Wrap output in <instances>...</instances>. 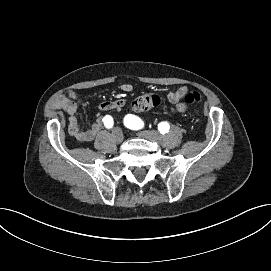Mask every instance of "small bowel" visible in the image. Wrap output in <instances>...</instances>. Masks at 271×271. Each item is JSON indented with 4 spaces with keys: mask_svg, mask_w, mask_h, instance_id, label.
Instances as JSON below:
<instances>
[{
    "mask_svg": "<svg viewBox=\"0 0 271 271\" xmlns=\"http://www.w3.org/2000/svg\"><path fill=\"white\" fill-rule=\"evenodd\" d=\"M131 84L124 83L120 85V90L123 92L132 91ZM188 94V88L183 86L179 87L168 93L167 99L173 105L170 108L171 113H182L187 108V103L184 101L185 96ZM127 100L125 98H119L111 101H104L98 105L100 111H109L120 109L125 106ZM54 107L58 110L64 111L68 115L69 127L74 133L75 137L80 141H91L98 134L102 128L103 116H99L96 121L86 130L79 127L76 113L78 110L77 96L71 92L68 96H60L54 101Z\"/></svg>",
    "mask_w": 271,
    "mask_h": 271,
    "instance_id": "c3829d8e",
    "label": "small bowel"
}]
</instances>
